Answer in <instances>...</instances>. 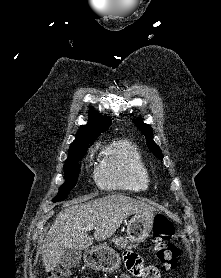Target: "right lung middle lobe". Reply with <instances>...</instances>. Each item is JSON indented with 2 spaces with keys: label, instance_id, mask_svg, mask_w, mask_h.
I'll list each match as a JSON object with an SVG mask.
<instances>
[{
  "label": "right lung middle lobe",
  "instance_id": "right-lung-middle-lobe-1",
  "mask_svg": "<svg viewBox=\"0 0 221 278\" xmlns=\"http://www.w3.org/2000/svg\"><path fill=\"white\" fill-rule=\"evenodd\" d=\"M88 148L89 145H85L69 152L64 165L65 183L59 188V193L53 199V202L64 200L76 185L80 170L78 162L84 157Z\"/></svg>",
  "mask_w": 221,
  "mask_h": 278
}]
</instances>
